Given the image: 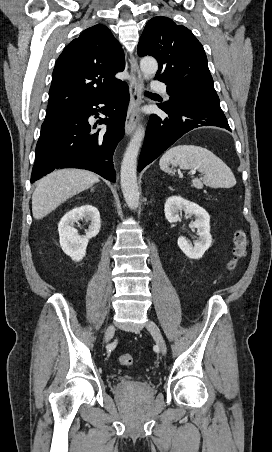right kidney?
<instances>
[{"mask_svg":"<svg viewBox=\"0 0 272 452\" xmlns=\"http://www.w3.org/2000/svg\"><path fill=\"white\" fill-rule=\"evenodd\" d=\"M79 220L90 221L85 236H80L74 228ZM101 227L100 213L92 205H83L67 212L58 224L60 246L63 252L74 261H80L86 254L89 239L98 235Z\"/></svg>","mask_w":272,"mask_h":452,"instance_id":"obj_1","label":"right kidney"}]
</instances>
